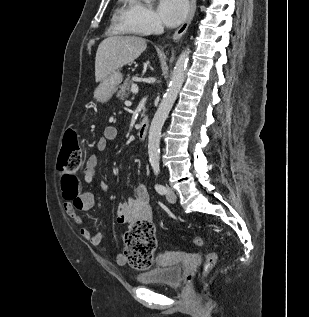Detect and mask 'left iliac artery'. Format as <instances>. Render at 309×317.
Returning a JSON list of instances; mask_svg holds the SVG:
<instances>
[{
    "label": "left iliac artery",
    "mask_w": 309,
    "mask_h": 317,
    "mask_svg": "<svg viewBox=\"0 0 309 317\" xmlns=\"http://www.w3.org/2000/svg\"><path fill=\"white\" fill-rule=\"evenodd\" d=\"M153 170H154V174L157 176L159 174V172H160L159 165H153ZM155 190L161 195L166 193L165 187L163 185H161V184H156L155 185Z\"/></svg>",
    "instance_id": "1"
}]
</instances>
